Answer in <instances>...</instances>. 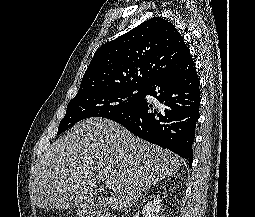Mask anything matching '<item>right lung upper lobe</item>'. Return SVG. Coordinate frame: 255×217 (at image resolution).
Here are the masks:
<instances>
[{
  "label": "right lung upper lobe",
  "instance_id": "right-lung-upper-lobe-1",
  "mask_svg": "<svg viewBox=\"0 0 255 217\" xmlns=\"http://www.w3.org/2000/svg\"><path fill=\"white\" fill-rule=\"evenodd\" d=\"M191 59L173 23L154 17L102 45L95 52L78 92L117 86L147 87Z\"/></svg>",
  "mask_w": 255,
  "mask_h": 217
}]
</instances>
